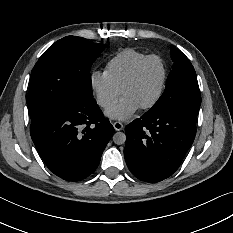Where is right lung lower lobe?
Listing matches in <instances>:
<instances>
[{"instance_id":"98d812e1","label":"right lung lower lobe","mask_w":233,"mask_h":233,"mask_svg":"<svg viewBox=\"0 0 233 233\" xmlns=\"http://www.w3.org/2000/svg\"><path fill=\"white\" fill-rule=\"evenodd\" d=\"M113 131L95 99L88 96L31 120V138L39 155L67 181L83 180L95 171Z\"/></svg>"}]
</instances>
